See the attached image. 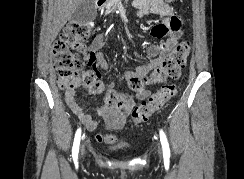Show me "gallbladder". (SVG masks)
I'll list each match as a JSON object with an SVG mask.
<instances>
[{
  "instance_id": "bac80fb5",
  "label": "gallbladder",
  "mask_w": 244,
  "mask_h": 179,
  "mask_svg": "<svg viewBox=\"0 0 244 179\" xmlns=\"http://www.w3.org/2000/svg\"><path fill=\"white\" fill-rule=\"evenodd\" d=\"M96 16L97 8L95 6V0H82L74 14H72L69 22H74V24H87V22L95 20Z\"/></svg>"
}]
</instances>
